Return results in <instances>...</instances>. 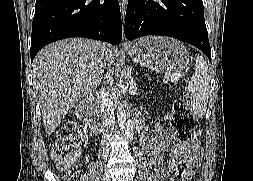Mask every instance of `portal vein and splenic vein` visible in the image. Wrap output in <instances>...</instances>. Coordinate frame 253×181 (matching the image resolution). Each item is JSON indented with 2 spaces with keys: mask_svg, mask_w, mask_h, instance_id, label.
Masks as SVG:
<instances>
[{
  "mask_svg": "<svg viewBox=\"0 0 253 181\" xmlns=\"http://www.w3.org/2000/svg\"><path fill=\"white\" fill-rule=\"evenodd\" d=\"M179 78H180V75H172L166 81L167 82H174V81L179 80Z\"/></svg>",
  "mask_w": 253,
  "mask_h": 181,
  "instance_id": "1",
  "label": "portal vein and splenic vein"
}]
</instances>
